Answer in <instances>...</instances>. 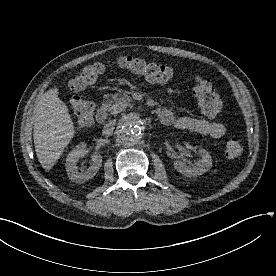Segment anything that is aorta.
<instances>
[{"mask_svg":"<svg viewBox=\"0 0 276 276\" xmlns=\"http://www.w3.org/2000/svg\"><path fill=\"white\" fill-rule=\"evenodd\" d=\"M117 135L126 145H135L143 137L142 120L135 114L124 117L117 128Z\"/></svg>","mask_w":276,"mask_h":276,"instance_id":"762f6f07","label":"aorta"}]
</instances>
